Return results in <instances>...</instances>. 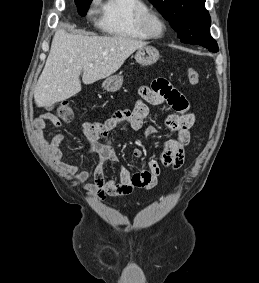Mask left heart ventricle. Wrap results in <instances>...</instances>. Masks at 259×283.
Returning <instances> with one entry per match:
<instances>
[{
	"label": "left heart ventricle",
	"mask_w": 259,
	"mask_h": 283,
	"mask_svg": "<svg viewBox=\"0 0 259 283\" xmlns=\"http://www.w3.org/2000/svg\"><path fill=\"white\" fill-rule=\"evenodd\" d=\"M153 30H154L156 33L160 34V33L163 31V26L161 25V23L155 22V23L153 24Z\"/></svg>",
	"instance_id": "1"
}]
</instances>
